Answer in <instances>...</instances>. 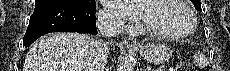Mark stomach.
Instances as JSON below:
<instances>
[{"label":"stomach","instance_id":"stomach-1","mask_svg":"<svg viewBox=\"0 0 230 71\" xmlns=\"http://www.w3.org/2000/svg\"><path fill=\"white\" fill-rule=\"evenodd\" d=\"M139 53L144 60L154 64H163L172 56L170 48L159 43L146 45L140 49Z\"/></svg>","mask_w":230,"mask_h":71}]
</instances>
